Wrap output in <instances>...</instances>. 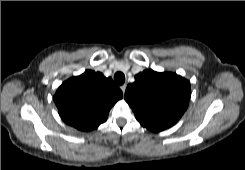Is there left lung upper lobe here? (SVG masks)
I'll return each instance as SVG.
<instances>
[{
    "label": "left lung upper lobe",
    "instance_id": "1",
    "mask_svg": "<svg viewBox=\"0 0 245 170\" xmlns=\"http://www.w3.org/2000/svg\"><path fill=\"white\" fill-rule=\"evenodd\" d=\"M191 96L190 82L168 72L145 70L127 86L125 100L136 119L158 132L174 125L186 111Z\"/></svg>",
    "mask_w": 245,
    "mask_h": 170
}]
</instances>
